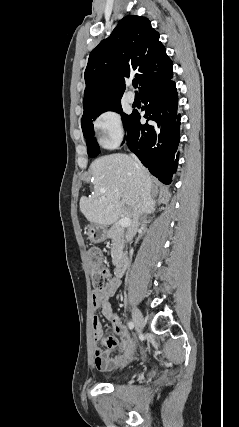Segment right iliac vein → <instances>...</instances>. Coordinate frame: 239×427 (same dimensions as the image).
I'll list each match as a JSON object with an SVG mask.
<instances>
[{
	"label": "right iliac vein",
	"instance_id": "63e3f726",
	"mask_svg": "<svg viewBox=\"0 0 239 427\" xmlns=\"http://www.w3.org/2000/svg\"><path fill=\"white\" fill-rule=\"evenodd\" d=\"M132 317H133V322L135 324L136 330L138 332H140L142 330V328L144 327V324H145L141 311L138 308L133 307Z\"/></svg>",
	"mask_w": 239,
	"mask_h": 427
}]
</instances>
